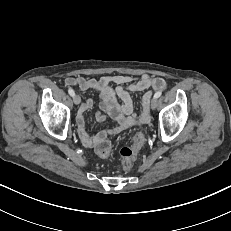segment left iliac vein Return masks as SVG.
<instances>
[{
    "label": "left iliac vein",
    "instance_id": "left-iliac-vein-1",
    "mask_svg": "<svg viewBox=\"0 0 231 231\" xmlns=\"http://www.w3.org/2000/svg\"><path fill=\"white\" fill-rule=\"evenodd\" d=\"M157 104H158V100L157 98L153 97L152 100H151V108L152 109H155L157 107Z\"/></svg>",
    "mask_w": 231,
    "mask_h": 231
}]
</instances>
